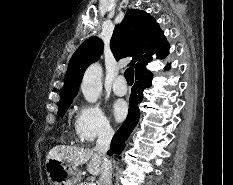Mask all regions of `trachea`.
Wrapping results in <instances>:
<instances>
[{"label":"trachea","instance_id":"1","mask_svg":"<svg viewBox=\"0 0 233 185\" xmlns=\"http://www.w3.org/2000/svg\"><path fill=\"white\" fill-rule=\"evenodd\" d=\"M124 75H125L127 83L133 84V82H134V69L132 67L127 68Z\"/></svg>","mask_w":233,"mask_h":185}]
</instances>
